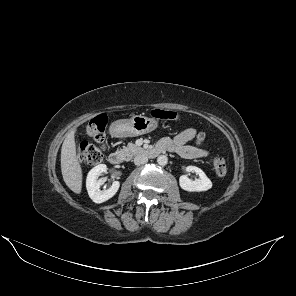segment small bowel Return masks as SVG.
Wrapping results in <instances>:
<instances>
[{"label": "small bowel", "mask_w": 296, "mask_h": 296, "mask_svg": "<svg viewBox=\"0 0 296 296\" xmlns=\"http://www.w3.org/2000/svg\"><path fill=\"white\" fill-rule=\"evenodd\" d=\"M197 133V129L187 128L173 138L165 137L161 139L159 145L163 146L166 151L178 154L186 159L206 158L209 155L206 149L188 145L196 137Z\"/></svg>", "instance_id": "c3829d8e"}]
</instances>
